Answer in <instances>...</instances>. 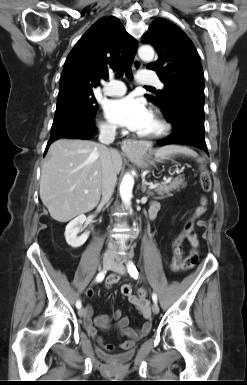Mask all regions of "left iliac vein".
<instances>
[{"label": "left iliac vein", "mask_w": 247, "mask_h": 385, "mask_svg": "<svg viewBox=\"0 0 247 385\" xmlns=\"http://www.w3.org/2000/svg\"><path fill=\"white\" fill-rule=\"evenodd\" d=\"M111 269L114 271V272H117L121 275H124L126 273V269H125V266L123 265V263L117 259L111 266ZM152 311L154 314H158L159 313V306L157 303H154L152 305Z\"/></svg>", "instance_id": "left-iliac-vein-1"}]
</instances>
